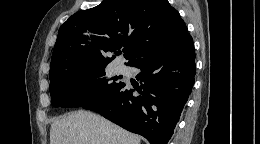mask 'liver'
Wrapping results in <instances>:
<instances>
[{"label": "liver", "instance_id": "obj_1", "mask_svg": "<svg viewBox=\"0 0 260 144\" xmlns=\"http://www.w3.org/2000/svg\"><path fill=\"white\" fill-rule=\"evenodd\" d=\"M139 136L87 111L71 112L55 121L50 144H140Z\"/></svg>", "mask_w": 260, "mask_h": 144}]
</instances>
